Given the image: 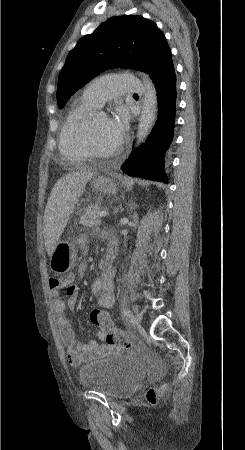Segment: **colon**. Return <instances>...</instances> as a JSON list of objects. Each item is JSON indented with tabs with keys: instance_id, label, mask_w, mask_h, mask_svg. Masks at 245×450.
I'll list each match as a JSON object with an SVG mask.
<instances>
[{
	"instance_id": "obj_1",
	"label": "colon",
	"mask_w": 245,
	"mask_h": 450,
	"mask_svg": "<svg viewBox=\"0 0 245 450\" xmlns=\"http://www.w3.org/2000/svg\"><path fill=\"white\" fill-rule=\"evenodd\" d=\"M58 280L65 281L66 278H60ZM91 322L103 331L104 340L107 343L123 348L131 347L130 337L125 332L115 327L111 318L104 310H94L91 314ZM166 388V385L157 388H149L146 392L147 400L151 403H155Z\"/></svg>"
}]
</instances>
